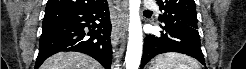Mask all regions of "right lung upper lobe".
<instances>
[{
	"label": "right lung upper lobe",
	"mask_w": 246,
	"mask_h": 69,
	"mask_svg": "<svg viewBox=\"0 0 246 69\" xmlns=\"http://www.w3.org/2000/svg\"><path fill=\"white\" fill-rule=\"evenodd\" d=\"M106 0H48L46 9L54 8H84L90 6H97L105 3Z\"/></svg>",
	"instance_id": "1"
}]
</instances>
